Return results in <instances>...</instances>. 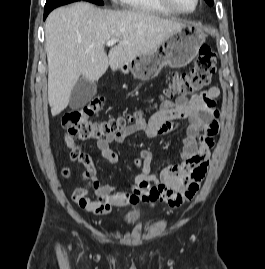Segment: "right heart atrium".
Masks as SVG:
<instances>
[{
  "label": "right heart atrium",
  "mask_w": 265,
  "mask_h": 269,
  "mask_svg": "<svg viewBox=\"0 0 265 269\" xmlns=\"http://www.w3.org/2000/svg\"><path fill=\"white\" fill-rule=\"evenodd\" d=\"M113 2H116V1H118V0H112Z\"/></svg>",
  "instance_id": "1"
}]
</instances>
